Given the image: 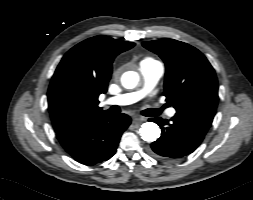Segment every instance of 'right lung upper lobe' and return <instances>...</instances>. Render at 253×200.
<instances>
[{
  "instance_id": "cb5924a9",
  "label": "right lung upper lobe",
  "mask_w": 253,
  "mask_h": 200,
  "mask_svg": "<svg viewBox=\"0 0 253 200\" xmlns=\"http://www.w3.org/2000/svg\"><path fill=\"white\" fill-rule=\"evenodd\" d=\"M134 45L107 36H95L64 55L48 89V107L56 132L107 113L98 107V96L107 91L113 59Z\"/></svg>"
}]
</instances>
